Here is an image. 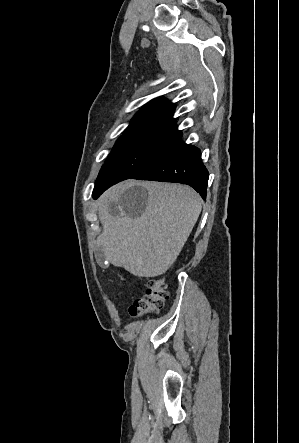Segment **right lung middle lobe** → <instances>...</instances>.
Returning a JSON list of instances; mask_svg holds the SVG:
<instances>
[{
  "label": "right lung middle lobe",
  "mask_w": 299,
  "mask_h": 443,
  "mask_svg": "<svg viewBox=\"0 0 299 443\" xmlns=\"http://www.w3.org/2000/svg\"><path fill=\"white\" fill-rule=\"evenodd\" d=\"M181 136L173 123L144 122L125 130L102 166L93 193L131 178L167 152Z\"/></svg>",
  "instance_id": "obj_1"
}]
</instances>
